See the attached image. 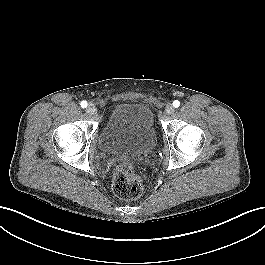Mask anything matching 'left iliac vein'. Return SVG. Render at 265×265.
<instances>
[{"label":"left iliac vein","mask_w":265,"mask_h":265,"mask_svg":"<svg viewBox=\"0 0 265 265\" xmlns=\"http://www.w3.org/2000/svg\"><path fill=\"white\" fill-rule=\"evenodd\" d=\"M174 112V108H173V106L171 105V104H168L167 106H166V108H165V113L167 114V115H170V114H172Z\"/></svg>","instance_id":"4c4485c4"}]
</instances>
